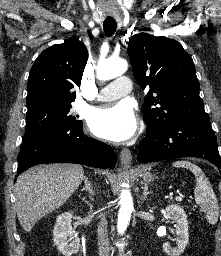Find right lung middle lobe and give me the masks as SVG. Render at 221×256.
I'll use <instances>...</instances> for the list:
<instances>
[{
  "instance_id": "right-lung-middle-lobe-1",
  "label": "right lung middle lobe",
  "mask_w": 221,
  "mask_h": 256,
  "mask_svg": "<svg viewBox=\"0 0 221 256\" xmlns=\"http://www.w3.org/2000/svg\"><path fill=\"white\" fill-rule=\"evenodd\" d=\"M71 107V105H42L28 110L26 130L22 141H26L34 135L50 128L82 124V121L70 115L69 111Z\"/></svg>"
}]
</instances>
